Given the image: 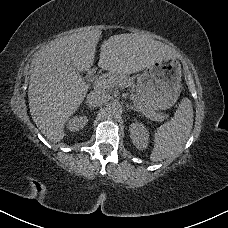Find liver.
<instances>
[{"label":"liver","instance_id":"6515ba94","mask_svg":"<svg viewBox=\"0 0 228 228\" xmlns=\"http://www.w3.org/2000/svg\"><path fill=\"white\" fill-rule=\"evenodd\" d=\"M101 34L99 29H90L62 37L39 51L31 62L30 116L52 144L66 138V125L89 91L88 85L71 69L83 74L93 70ZM176 57L174 49L143 34H117L103 43L98 67L127 76Z\"/></svg>","mask_w":228,"mask_h":228}]
</instances>
